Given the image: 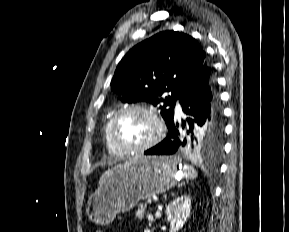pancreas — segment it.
Segmentation results:
<instances>
[{"mask_svg": "<svg viewBox=\"0 0 289 232\" xmlns=\"http://www.w3.org/2000/svg\"><path fill=\"white\" fill-rule=\"evenodd\" d=\"M145 209H146V204L145 205L141 204L139 206L138 211L136 212L137 219H143L144 214H145Z\"/></svg>", "mask_w": 289, "mask_h": 232, "instance_id": "pancreas-1", "label": "pancreas"}]
</instances>
